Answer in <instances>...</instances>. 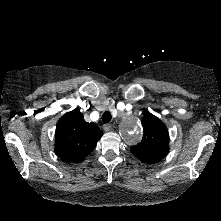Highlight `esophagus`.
Wrapping results in <instances>:
<instances>
[{
    "instance_id": "obj_1",
    "label": "esophagus",
    "mask_w": 221,
    "mask_h": 221,
    "mask_svg": "<svg viewBox=\"0 0 221 221\" xmlns=\"http://www.w3.org/2000/svg\"><path fill=\"white\" fill-rule=\"evenodd\" d=\"M103 129L108 132L112 129V125L111 124H104Z\"/></svg>"
}]
</instances>
